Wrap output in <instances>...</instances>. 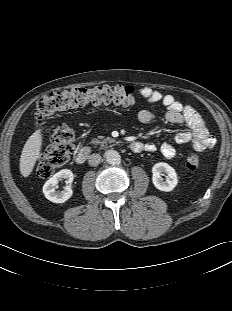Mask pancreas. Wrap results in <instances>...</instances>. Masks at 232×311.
<instances>
[{
  "instance_id": "obj_1",
  "label": "pancreas",
  "mask_w": 232,
  "mask_h": 311,
  "mask_svg": "<svg viewBox=\"0 0 232 311\" xmlns=\"http://www.w3.org/2000/svg\"><path fill=\"white\" fill-rule=\"evenodd\" d=\"M102 139H103V137H102V136H99L98 139H96V138L93 139V140H92V143L95 144V145H99V144H100L101 146H103V145H104L105 143H107V142H109V143L115 142L114 139H111V138H109V137L106 138V139H103V140H102Z\"/></svg>"
}]
</instances>
